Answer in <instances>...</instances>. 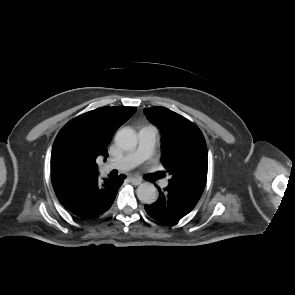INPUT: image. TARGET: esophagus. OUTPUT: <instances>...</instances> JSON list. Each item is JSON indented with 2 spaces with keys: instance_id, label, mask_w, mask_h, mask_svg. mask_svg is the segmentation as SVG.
I'll use <instances>...</instances> for the list:
<instances>
[{
  "instance_id": "esophagus-1",
  "label": "esophagus",
  "mask_w": 295,
  "mask_h": 295,
  "mask_svg": "<svg viewBox=\"0 0 295 295\" xmlns=\"http://www.w3.org/2000/svg\"><path fill=\"white\" fill-rule=\"evenodd\" d=\"M130 182H131L133 185H139V184H141V179L136 178V177H130Z\"/></svg>"
}]
</instances>
